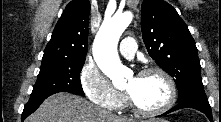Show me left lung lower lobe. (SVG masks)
Segmentation results:
<instances>
[{"label":"left lung lower lobe","mask_w":221,"mask_h":122,"mask_svg":"<svg viewBox=\"0 0 221 122\" xmlns=\"http://www.w3.org/2000/svg\"><path fill=\"white\" fill-rule=\"evenodd\" d=\"M183 108L197 109V110L201 111L202 113H204L209 118L210 121L213 120L211 107H210L209 102L206 97L193 98L190 100L181 101V102H179V104H177L175 107H173L169 111L165 112L161 116L171 113L173 111L179 110V109H183Z\"/></svg>","instance_id":"1"}]
</instances>
